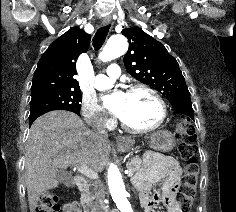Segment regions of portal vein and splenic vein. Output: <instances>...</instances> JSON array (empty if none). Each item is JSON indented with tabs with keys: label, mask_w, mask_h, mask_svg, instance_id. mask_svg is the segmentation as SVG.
Returning a JSON list of instances; mask_svg holds the SVG:
<instances>
[{
	"label": "portal vein and splenic vein",
	"mask_w": 236,
	"mask_h": 212,
	"mask_svg": "<svg viewBox=\"0 0 236 212\" xmlns=\"http://www.w3.org/2000/svg\"><path fill=\"white\" fill-rule=\"evenodd\" d=\"M77 170L79 173H81L82 175L90 178V179H96L98 178V173L90 168H88L87 166L85 165H81L79 167H77ZM126 174H128V176H132L133 175V172L132 171H129L127 170L126 171Z\"/></svg>",
	"instance_id": "1"
}]
</instances>
